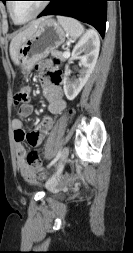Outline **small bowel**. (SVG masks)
I'll use <instances>...</instances> for the list:
<instances>
[{"instance_id":"obj_1","label":"small bowel","mask_w":133,"mask_h":253,"mask_svg":"<svg viewBox=\"0 0 133 253\" xmlns=\"http://www.w3.org/2000/svg\"><path fill=\"white\" fill-rule=\"evenodd\" d=\"M36 70L41 76L43 94L48 101V111L52 115L61 114L66 108V100L62 91L61 72L52 67L49 61H42L36 65ZM33 105L26 104L18 109L19 118H14L11 122L14 139L17 165L21 175L27 181H33L36 175L35 170L28 164L27 151L23 145L27 141L31 146L38 147L45 140L52 128L50 118H46L35 129L26 132L23 129L21 118L28 117L33 112Z\"/></svg>"}]
</instances>
